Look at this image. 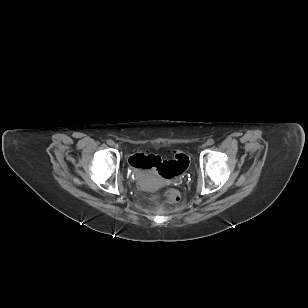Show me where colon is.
<instances>
[{"label":"colon","instance_id":"obj_1","mask_svg":"<svg viewBox=\"0 0 308 308\" xmlns=\"http://www.w3.org/2000/svg\"><path fill=\"white\" fill-rule=\"evenodd\" d=\"M132 166L141 169H156L164 178H173L182 174L188 167V157L182 152H175L173 160H161L159 157L149 153H138L130 158ZM164 197L171 203L180 201V193L176 189H167ZM153 200L158 198L157 195L151 197Z\"/></svg>","mask_w":308,"mask_h":308}]
</instances>
